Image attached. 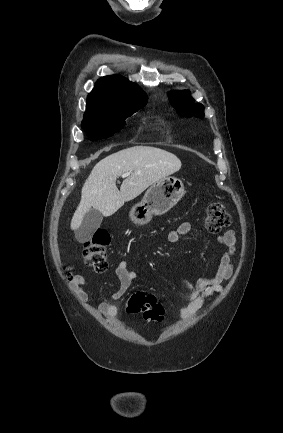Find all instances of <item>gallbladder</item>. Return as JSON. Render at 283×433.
I'll return each instance as SVG.
<instances>
[{
    "label": "gallbladder",
    "instance_id": "bac80fb5",
    "mask_svg": "<svg viewBox=\"0 0 283 433\" xmlns=\"http://www.w3.org/2000/svg\"><path fill=\"white\" fill-rule=\"evenodd\" d=\"M103 221V214L96 208H90L86 214H84L81 227L75 231V239L79 243H87L93 237L95 231L99 229Z\"/></svg>",
    "mask_w": 283,
    "mask_h": 433
}]
</instances>
